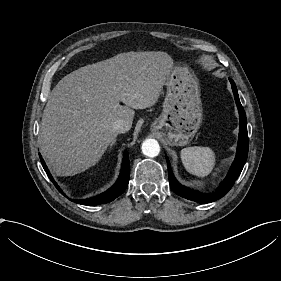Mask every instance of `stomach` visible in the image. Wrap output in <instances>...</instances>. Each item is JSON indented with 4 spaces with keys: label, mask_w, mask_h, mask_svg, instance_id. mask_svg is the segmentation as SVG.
Masks as SVG:
<instances>
[{
    "label": "stomach",
    "mask_w": 281,
    "mask_h": 281,
    "mask_svg": "<svg viewBox=\"0 0 281 281\" xmlns=\"http://www.w3.org/2000/svg\"><path fill=\"white\" fill-rule=\"evenodd\" d=\"M163 111L152 128L159 131L170 146L189 144L203 121L200 82L186 64L176 65L166 73Z\"/></svg>",
    "instance_id": "1"
}]
</instances>
